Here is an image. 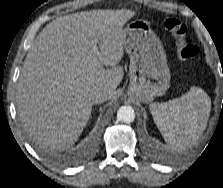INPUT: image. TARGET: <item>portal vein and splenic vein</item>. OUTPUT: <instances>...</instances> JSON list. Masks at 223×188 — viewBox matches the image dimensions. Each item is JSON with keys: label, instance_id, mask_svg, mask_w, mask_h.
Here are the masks:
<instances>
[{"label": "portal vein and splenic vein", "instance_id": "1", "mask_svg": "<svg viewBox=\"0 0 223 188\" xmlns=\"http://www.w3.org/2000/svg\"><path fill=\"white\" fill-rule=\"evenodd\" d=\"M96 42L97 40H93L92 43H93V51L96 53V54H99V51H98V48L96 46Z\"/></svg>", "mask_w": 223, "mask_h": 188}]
</instances>
